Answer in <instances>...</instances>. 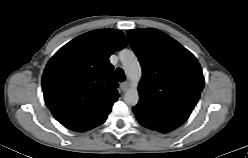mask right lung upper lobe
<instances>
[{
  "mask_svg": "<svg viewBox=\"0 0 248 158\" xmlns=\"http://www.w3.org/2000/svg\"><path fill=\"white\" fill-rule=\"evenodd\" d=\"M126 46L120 30H94L71 40L49 60L42 77L44 99L63 126L83 132L106 120L119 97L108 58Z\"/></svg>",
  "mask_w": 248,
  "mask_h": 158,
  "instance_id": "obj_1",
  "label": "right lung upper lobe"
}]
</instances>
